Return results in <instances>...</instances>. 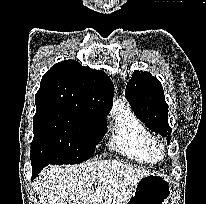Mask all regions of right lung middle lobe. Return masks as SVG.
<instances>
[{
    "label": "right lung middle lobe",
    "instance_id": "obj_1",
    "mask_svg": "<svg viewBox=\"0 0 206 204\" xmlns=\"http://www.w3.org/2000/svg\"><path fill=\"white\" fill-rule=\"evenodd\" d=\"M33 123V164L81 163L106 133L104 116L57 105H36Z\"/></svg>",
    "mask_w": 206,
    "mask_h": 204
}]
</instances>
